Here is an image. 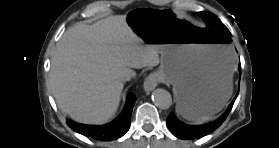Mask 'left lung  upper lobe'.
<instances>
[{
    "label": "left lung upper lobe",
    "instance_id": "left-lung-upper-lobe-1",
    "mask_svg": "<svg viewBox=\"0 0 279 148\" xmlns=\"http://www.w3.org/2000/svg\"><path fill=\"white\" fill-rule=\"evenodd\" d=\"M198 14L210 28L219 29L223 32L230 33L226 26L223 25L214 14L210 12H199Z\"/></svg>",
    "mask_w": 279,
    "mask_h": 148
}]
</instances>
